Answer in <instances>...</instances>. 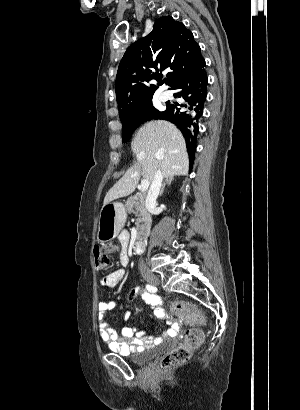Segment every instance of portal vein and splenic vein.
I'll list each match as a JSON object with an SVG mask.
<instances>
[{
    "label": "portal vein and splenic vein",
    "mask_w": 300,
    "mask_h": 410,
    "mask_svg": "<svg viewBox=\"0 0 300 410\" xmlns=\"http://www.w3.org/2000/svg\"><path fill=\"white\" fill-rule=\"evenodd\" d=\"M149 181L148 180H146V179H143L142 181H141V191L142 192H144V191H146L147 189H148V187H149Z\"/></svg>",
    "instance_id": "1"
}]
</instances>
